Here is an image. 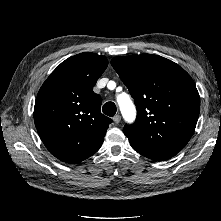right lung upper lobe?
Listing matches in <instances>:
<instances>
[{
    "instance_id": "cb5924a9",
    "label": "right lung upper lobe",
    "mask_w": 221,
    "mask_h": 221,
    "mask_svg": "<svg viewBox=\"0 0 221 221\" xmlns=\"http://www.w3.org/2000/svg\"><path fill=\"white\" fill-rule=\"evenodd\" d=\"M107 65L104 56L80 53L57 66L39 90L35 126L49 152L63 162H81L103 143L112 120L101 113L93 87Z\"/></svg>"
}]
</instances>
